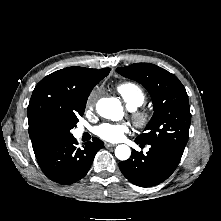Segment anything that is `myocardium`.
Segmentation results:
<instances>
[{
    "label": "myocardium",
    "instance_id": "1",
    "mask_svg": "<svg viewBox=\"0 0 221 221\" xmlns=\"http://www.w3.org/2000/svg\"><path fill=\"white\" fill-rule=\"evenodd\" d=\"M133 118L139 128H145L151 122V113L148 110H138L134 113Z\"/></svg>",
    "mask_w": 221,
    "mask_h": 221
}]
</instances>
